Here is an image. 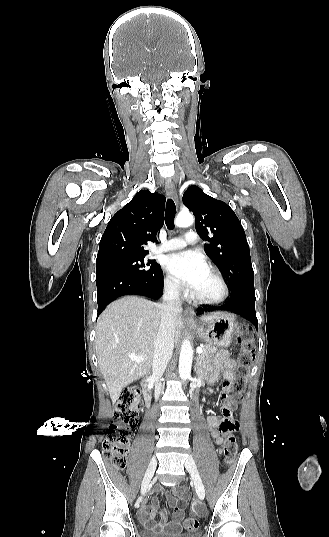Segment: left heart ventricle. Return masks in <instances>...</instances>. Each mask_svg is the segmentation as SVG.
I'll return each mask as SVG.
<instances>
[{
	"label": "left heart ventricle",
	"mask_w": 329,
	"mask_h": 537,
	"mask_svg": "<svg viewBox=\"0 0 329 537\" xmlns=\"http://www.w3.org/2000/svg\"><path fill=\"white\" fill-rule=\"evenodd\" d=\"M219 292V284L217 283L213 275L209 271H207L194 293L204 297H213L218 295Z\"/></svg>",
	"instance_id": "left-heart-ventricle-1"
}]
</instances>
